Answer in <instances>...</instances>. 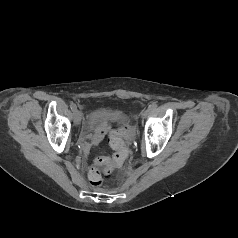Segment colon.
<instances>
[{"instance_id": "colon-1", "label": "colon", "mask_w": 238, "mask_h": 238, "mask_svg": "<svg viewBox=\"0 0 238 238\" xmlns=\"http://www.w3.org/2000/svg\"><path fill=\"white\" fill-rule=\"evenodd\" d=\"M134 132V129L128 124H122L120 128L114 130L109 135V144L116 151L115 155L110 158L106 156H98L95 159L97 165H103L107 171H112L117 168L127 157L128 150L123 142V138L128 137ZM105 172L101 170H92L89 174L90 183L92 186H100L103 182Z\"/></svg>"}]
</instances>
